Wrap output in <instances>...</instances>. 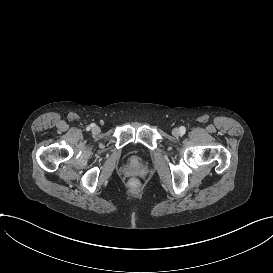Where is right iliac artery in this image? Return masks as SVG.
I'll return each instance as SVG.
<instances>
[{
	"label": "right iliac artery",
	"mask_w": 273,
	"mask_h": 273,
	"mask_svg": "<svg viewBox=\"0 0 273 273\" xmlns=\"http://www.w3.org/2000/svg\"><path fill=\"white\" fill-rule=\"evenodd\" d=\"M94 126H95L94 124H91L90 126L87 127V130H90Z\"/></svg>",
	"instance_id": "1"
}]
</instances>
